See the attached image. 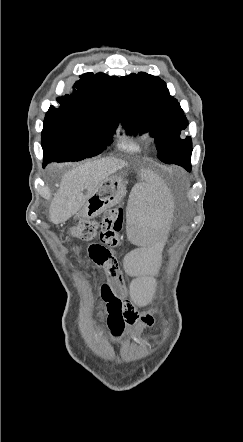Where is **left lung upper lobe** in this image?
I'll use <instances>...</instances> for the list:
<instances>
[{"label": "left lung upper lobe", "instance_id": "obj_1", "mask_svg": "<svg viewBox=\"0 0 243 442\" xmlns=\"http://www.w3.org/2000/svg\"><path fill=\"white\" fill-rule=\"evenodd\" d=\"M120 122L128 131L155 137L157 157L167 164L191 170V137L180 138L188 126L180 104L169 95L166 83L144 72L121 77Z\"/></svg>", "mask_w": 243, "mask_h": 442}]
</instances>
